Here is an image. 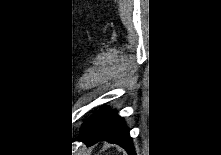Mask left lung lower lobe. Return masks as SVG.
Instances as JSON below:
<instances>
[{
  "label": "left lung lower lobe",
  "mask_w": 221,
  "mask_h": 155,
  "mask_svg": "<svg viewBox=\"0 0 221 155\" xmlns=\"http://www.w3.org/2000/svg\"><path fill=\"white\" fill-rule=\"evenodd\" d=\"M81 140L94 144L100 140H107L125 148L129 155H136L129 131L119 116H114V111L101 109L95 112L84 122L81 130Z\"/></svg>",
  "instance_id": "1"
}]
</instances>
